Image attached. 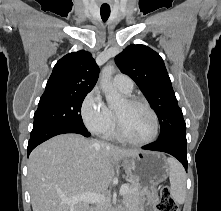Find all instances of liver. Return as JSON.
<instances>
[{"label": "liver", "mask_w": 221, "mask_h": 211, "mask_svg": "<svg viewBox=\"0 0 221 211\" xmlns=\"http://www.w3.org/2000/svg\"><path fill=\"white\" fill-rule=\"evenodd\" d=\"M78 134H62L37 146L28 160L33 211H91L89 203L69 205L62 198L104 193L118 162L138 154Z\"/></svg>", "instance_id": "1"}]
</instances>
